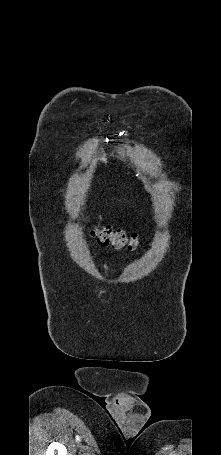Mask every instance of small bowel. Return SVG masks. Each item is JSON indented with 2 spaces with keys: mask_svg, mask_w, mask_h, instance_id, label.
<instances>
[{
  "mask_svg": "<svg viewBox=\"0 0 221 455\" xmlns=\"http://www.w3.org/2000/svg\"><path fill=\"white\" fill-rule=\"evenodd\" d=\"M99 270L101 273H107V272L111 271L115 275H119V271L116 268L111 267L107 262L100 263Z\"/></svg>",
  "mask_w": 221,
  "mask_h": 455,
  "instance_id": "small-bowel-1",
  "label": "small bowel"
}]
</instances>
